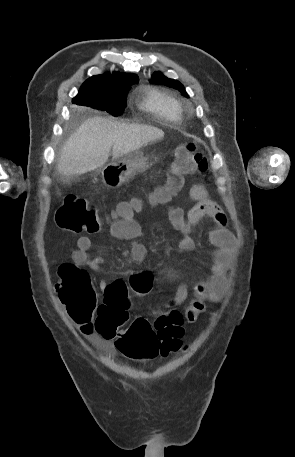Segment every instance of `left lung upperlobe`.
<instances>
[{
	"instance_id": "left-lung-upper-lobe-1",
	"label": "left lung upper lobe",
	"mask_w": 295,
	"mask_h": 457,
	"mask_svg": "<svg viewBox=\"0 0 295 457\" xmlns=\"http://www.w3.org/2000/svg\"><path fill=\"white\" fill-rule=\"evenodd\" d=\"M152 78H153V80H155L159 83H162L166 86L178 89L183 95H188L185 91L184 86L177 80L169 79V78L165 77L164 75H162L160 72H155L152 75Z\"/></svg>"
}]
</instances>
